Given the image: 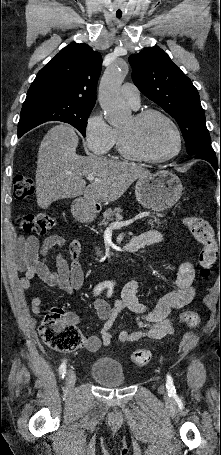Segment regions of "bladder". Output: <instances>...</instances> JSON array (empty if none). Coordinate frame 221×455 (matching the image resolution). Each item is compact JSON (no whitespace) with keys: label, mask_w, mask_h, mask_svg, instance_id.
I'll return each instance as SVG.
<instances>
[{"label":"bladder","mask_w":221,"mask_h":455,"mask_svg":"<svg viewBox=\"0 0 221 455\" xmlns=\"http://www.w3.org/2000/svg\"><path fill=\"white\" fill-rule=\"evenodd\" d=\"M90 374L97 382L106 386L125 384L124 369L119 363L97 360L92 364Z\"/></svg>","instance_id":"bladder-1"}]
</instances>
